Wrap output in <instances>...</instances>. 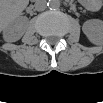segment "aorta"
Wrapping results in <instances>:
<instances>
[{"instance_id": "762f6f07", "label": "aorta", "mask_w": 103, "mask_h": 103, "mask_svg": "<svg viewBox=\"0 0 103 103\" xmlns=\"http://www.w3.org/2000/svg\"><path fill=\"white\" fill-rule=\"evenodd\" d=\"M47 5L51 9H57L60 7V2L58 0H49Z\"/></svg>"}]
</instances>
